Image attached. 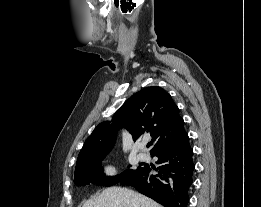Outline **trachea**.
I'll return each mask as SVG.
<instances>
[{
	"label": "trachea",
	"instance_id": "obj_1",
	"mask_svg": "<svg viewBox=\"0 0 261 207\" xmlns=\"http://www.w3.org/2000/svg\"><path fill=\"white\" fill-rule=\"evenodd\" d=\"M151 144L149 143V144H147V147H149Z\"/></svg>",
	"mask_w": 261,
	"mask_h": 207
}]
</instances>
